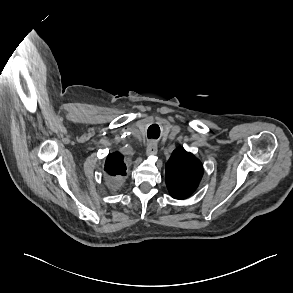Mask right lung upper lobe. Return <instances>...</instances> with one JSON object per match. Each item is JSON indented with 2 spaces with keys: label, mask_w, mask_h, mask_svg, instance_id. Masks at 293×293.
I'll use <instances>...</instances> for the list:
<instances>
[{
  "label": "right lung upper lobe",
  "mask_w": 293,
  "mask_h": 293,
  "mask_svg": "<svg viewBox=\"0 0 293 293\" xmlns=\"http://www.w3.org/2000/svg\"><path fill=\"white\" fill-rule=\"evenodd\" d=\"M104 170L111 178H121L126 175V165L120 153L109 154L106 158Z\"/></svg>",
  "instance_id": "1"
}]
</instances>
